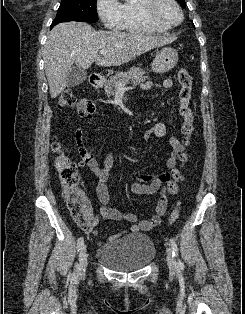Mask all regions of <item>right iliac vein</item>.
<instances>
[{
    "instance_id": "1",
    "label": "right iliac vein",
    "mask_w": 245,
    "mask_h": 314,
    "mask_svg": "<svg viewBox=\"0 0 245 314\" xmlns=\"http://www.w3.org/2000/svg\"><path fill=\"white\" fill-rule=\"evenodd\" d=\"M87 246L82 245L79 255L78 275H82L87 268Z\"/></svg>"
}]
</instances>
